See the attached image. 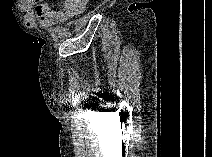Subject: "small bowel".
I'll list each match as a JSON object with an SVG mask.
<instances>
[{"label": "small bowel", "instance_id": "c3829d8e", "mask_svg": "<svg viewBox=\"0 0 212 157\" xmlns=\"http://www.w3.org/2000/svg\"><path fill=\"white\" fill-rule=\"evenodd\" d=\"M85 6V0H64L61 9H54L50 2H37L34 8L29 2H25L21 9L25 22H31L32 16H35L43 26L52 27L64 23L81 12Z\"/></svg>", "mask_w": 212, "mask_h": 157}]
</instances>
